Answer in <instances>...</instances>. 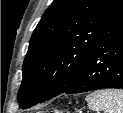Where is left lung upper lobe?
<instances>
[{"label": "left lung upper lobe", "instance_id": "left-lung-upper-lobe-1", "mask_svg": "<svg viewBox=\"0 0 123 113\" xmlns=\"http://www.w3.org/2000/svg\"><path fill=\"white\" fill-rule=\"evenodd\" d=\"M120 0H54L34 30L18 92L25 109L68 90Z\"/></svg>", "mask_w": 123, "mask_h": 113}]
</instances>
